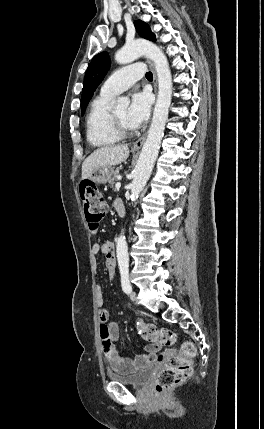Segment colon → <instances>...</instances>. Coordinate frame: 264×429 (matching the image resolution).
Listing matches in <instances>:
<instances>
[{"label":"colon","instance_id":"obj_1","mask_svg":"<svg viewBox=\"0 0 264 429\" xmlns=\"http://www.w3.org/2000/svg\"><path fill=\"white\" fill-rule=\"evenodd\" d=\"M80 196L86 220L92 230H96L107 212V203L94 183L85 180L80 184ZM137 329L140 336L157 346L169 347L175 344L176 334L167 328H158L153 324L139 322ZM196 354L191 342L181 344L177 353L167 356L165 366L158 374L155 390L161 394L188 378L192 373V359Z\"/></svg>","mask_w":264,"mask_h":429}]
</instances>
